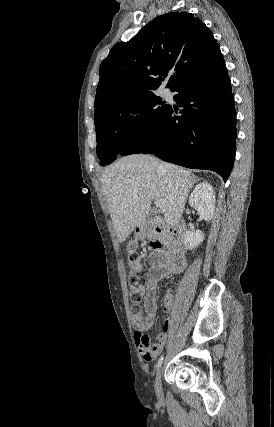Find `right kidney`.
Listing matches in <instances>:
<instances>
[{
    "label": "right kidney",
    "mask_w": 274,
    "mask_h": 427,
    "mask_svg": "<svg viewBox=\"0 0 274 427\" xmlns=\"http://www.w3.org/2000/svg\"><path fill=\"white\" fill-rule=\"evenodd\" d=\"M189 204L191 208H195L198 214L205 221H210L215 212V192L208 182H201L194 188L190 198ZM204 239V233L200 229L196 231H186L184 237V243L188 249H194Z\"/></svg>",
    "instance_id": "1"
}]
</instances>
